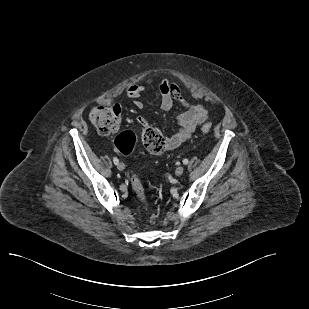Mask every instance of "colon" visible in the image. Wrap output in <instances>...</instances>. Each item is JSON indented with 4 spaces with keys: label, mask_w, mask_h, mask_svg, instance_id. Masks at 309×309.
<instances>
[{
    "label": "colon",
    "mask_w": 309,
    "mask_h": 309,
    "mask_svg": "<svg viewBox=\"0 0 309 309\" xmlns=\"http://www.w3.org/2000/svg\"><path fill=\"white\" fill-rule=\"evenodd\" d=\"M89 120L102 135L117 133L115 147L123 155H130L135 146V134L130 130L120 131L121 109L118 106H97L89 113ZM202 132L211 130L210 124H204ZM143 144L147 151L159 154L165 149V139L154 127H146L143 132ZM132 189L141 203H145V193L142 182L137 175L131 178Z\"/></svg>",
    "instance_id": "obj_1"
}]
</instances>
